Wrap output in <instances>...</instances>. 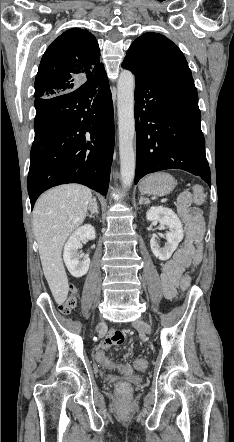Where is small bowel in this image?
<instances>
[{"mask_svg":"<svg viewBox=\"0 0 234 442\" xmlns=\"http://www.w3.org/2000/svg\"><path fill=\"white\" fill-rule=\"evenodd\" d=\"M178 213L185 224L187 231V242L183 244L173 257L167 260L162 266L161 281L166 298L170 299L175 296L176 287L179 279L187 269L194 271L195 262L192 242L197 241L203 230V215L199 208L192 205L191 195L189 193L182 194L177 201ZM124 341V335L120 331L111 330L100 347L107 350L115 344ZM139 360V359H138ZM144 361V360H143Z\"/></svg>","mask_w":234,"mask_h":442,"instance_id":"1","label":"small bowel"}]
</instances>
